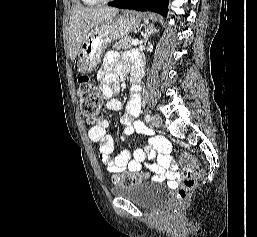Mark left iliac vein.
I'll use <instances>...</instances> for the list:
<instances>
[{
    "mask_svg": "<svg viewBox=\"0 0 257 237\" xmlns=\"http://www.w3.org/2000/svg\"><path fill=\"white\" fill-rule=\"evenodd\" d=\"M152 126L153 127H160L162 124V119L159 115H153L152 120H151Z\"/></svg>",
    "mask_w": 257,
    "mask_h": 237,
    "instance_id": "left-iliac-vein-1",
    "label": "left iliac vein"
}]
</instances>
